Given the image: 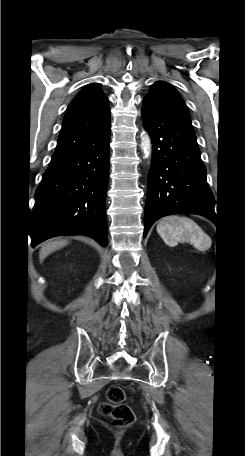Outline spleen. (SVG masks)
I'll list each match as a JSON object with an SVG mask.
<instances>
[{
    "label": "spleen",
    "mask_w": 245,
    "mask_h": 456,
    "mask_svg": "<svg viewBox=\"0 0 245 456\" xmlns=\"http://www.w3.org/2000/svg\"><path fill=\"white\" fill-rule=\"evenodd\" d=\"M157 232L164 242L175 246L179 241H190L195 248L206 250L211 246L210 237L190 218L169 216L157 225Z\"/></svg>",
    "instance_id": "spleen-1"
}]
</instances>
